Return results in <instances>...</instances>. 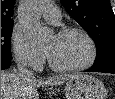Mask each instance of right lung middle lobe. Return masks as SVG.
Wrapping results in <instances>:
<instances>
[{"label": "right lung middle lobe", "mask_w": 115, "mask_h": 99, "mask_svg": "<svg viewBox=\"0 0 115 99\" xmlns=\"http://www.w3.org/2000/svg\"><path fill=\"white\" fill-rule=\"evenodd\" d=\"M13 25H1V61H11V35Z\"/></svg>", "instance_id": "right-lung-middle-lobe-1"}]
</instances>
